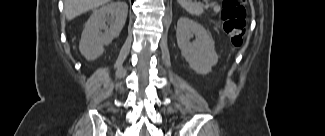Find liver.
Here are the masks:
<instances>
[{
	"mask_svg": "<svg viewBox=\"0 0 325 136\" xmlns=\"http://www.w3.org/2000/svg\"><path fill=\"white\" fill-rule=\"evenodd\" d=\"M109 0H64V13L67 20H72L78 15L95 9Z\"/></svg>",
	"mask_w": 325,
	"mask_h": 136,
	"instance_id": "liver-1",
	"label": "liver"
}]
</instances>
